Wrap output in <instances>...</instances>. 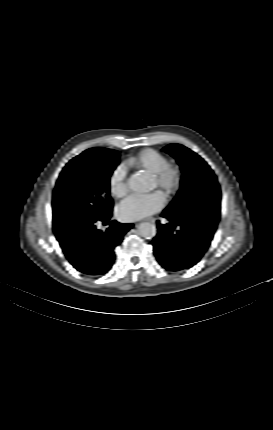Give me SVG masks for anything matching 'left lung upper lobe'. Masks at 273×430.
<instances>
[{
  "label": "left lung upper lobe",
  "instance_id": "left-lung-upper-lobe-1",
  "mask_svg": "<svg viewBox=\"0 0 273 430\" xmlns=\"http://www.w3.org/2000/svg\"><path fill=\"white\" fill-rule=\"evenodd\" d=\"M176 158L182 169L181 187L167 207L177 214L189 212L190 207L202 196L221 197L217 178L207 163L196 153L180 144H170L163 149Z\"/></svg>",
  "mask_w": 273,
  "mask_h": 430
}]
</instances>
